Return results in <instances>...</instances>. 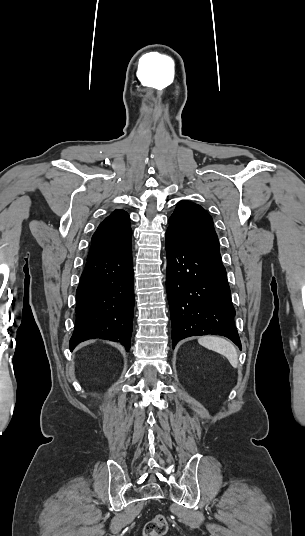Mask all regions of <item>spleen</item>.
<instances>
[{
	"instance_id": "3e777b00",
	"label": "spleen",
	"mask_w": 305,
	"mask_h": 536,
	"mask_svg": "<svg viewBox=\"0 0 305 536\" xmlns=\"http://www.w3.org/2000/svg\"><path fill=\"white\" fill-rule=\"evenodd\" d=\"M198 342L201 346H204V348L222 354V356H225V358L229 360L233 368H237L238 356L231 342H227L224 338H218V336H202V338H199Z\"/></svg>"
}]
</instances>
